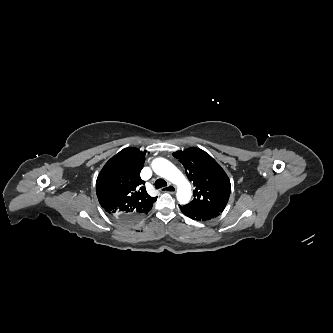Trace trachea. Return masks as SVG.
I'll list each match as a JSON object with an SVG mask.
<instances>
[{
	"instance_id": "obj_1",
	"label": "trachea",
	"mask_w": 333,
	"mask_h": 333,
	"mask_svg": "<svg viewBox=\"0 0 333 333\" xmlns=\"http://www.w3.org/2000/svg\"><path fill=\"white\" fill-rule=\"evenodd\" d=\"M154 185L156 189H159L167 186V182L164 179H157Z\"/></svg>"
}]
</instances>
